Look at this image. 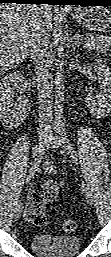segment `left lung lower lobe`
<instances>
[{"instance_id":"left-lung-lower-lobe-1","label":"left lung lower lobe","mask_w":111,"mask_h":257,"mask_svg":"<svg viewBox=\"0 0 111 257\" xmlns=\"http://www.w3.org/2000/svg\"><path fill=\"white\" fill-rule=\"evenodd\" d=\"M73 4L71 5H81V6H111V0H69Z\"/></svg>"}]
</instances>
